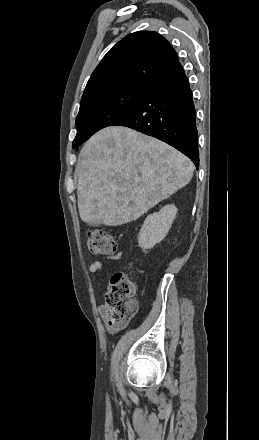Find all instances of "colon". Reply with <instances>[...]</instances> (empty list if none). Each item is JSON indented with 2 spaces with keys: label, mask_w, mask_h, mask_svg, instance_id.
<instances>
[{
  "label": "colon",
  "mask_w": 259,
  "mask_h": 440,
  "mask_svg": "<svg viewBox=\"0 0 259 440\" xmlns=\"http://www.w3.org/2000/svg\"><path fill=\"white\" fill-rule=\"evenodd\" d=\"M87 246L94 255H112L117 250L114 238L104 230L90 231ZM135 292V283L124 273L118 272L111 277L103 305L109 326L121 329L134 317L137 311Z\"/></svg>",
  "instance_id": "colon-1"
}]
</instances>
